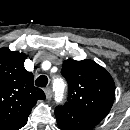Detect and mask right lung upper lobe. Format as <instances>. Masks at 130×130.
I'll use <instances>...</instances> for the list:
<instances>
[{
    "instance_id": "cb5924a9",
    "label": "right lung upper lobe",
    "mask_w": 130,
    "mask_h": 130,
    "mask_svg": "<svg viewBox=\"0 0 130 130\" xmlns=\"http://www.w3.org/2000/svg\"><path fill=\"white\" fill-rule=\"evenodd\" d=\"M26 55L0 49V130H18L26 123L44 92L33 85V74L24 68Z\"/></svg>"
}]
</instances>
